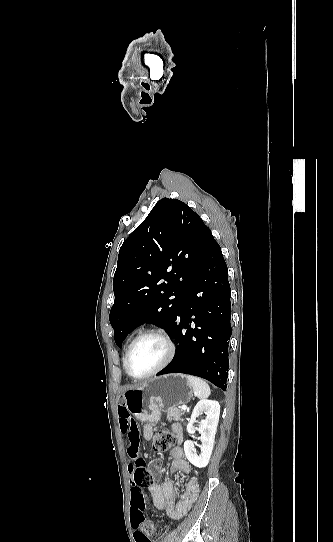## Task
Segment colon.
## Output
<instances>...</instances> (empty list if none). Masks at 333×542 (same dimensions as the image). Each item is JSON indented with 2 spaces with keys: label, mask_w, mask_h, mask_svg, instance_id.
Returning a JSON list of instances; mask_svg holds the SVG:
<instances>
[{
  "label": "colon",
  "mask_w": 333,
  "mask_h": 542,
  "mask_svg": "<svg viewBox=\"0 0 333 542\" xmlns=\"http://www.w3.org/2000/svg\"><path fill=\"white\" fill-rule=\"evenodd\" d=\"M174 433L167 430H159L153 437V449L156 452L165 451L173 447L175 442ZM129 466L133 469L134 479L137 483L129 485V492L133 495V505L130 509V521L134 525H143L141 533H137L138 542H148L149 536L155 531V525L148 520L145 515L146 509L149 507L145 503V494L149 493V486L155 483L154 473L148 471L145 467V461L141 458H131Z\"/></svg>",
  "instance_id": "obj_1"
}]
</instances>
